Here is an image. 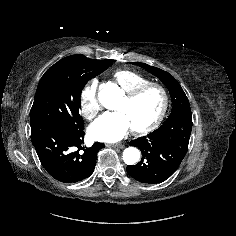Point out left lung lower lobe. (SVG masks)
<instances>
[{
    "label": "left lung lower lobe",
    "instance_id": "0a47b994",
    "mask_svg": "<svg viewBox=\"0 0 236 236\" xmlns=\"http://www.w3.org/2000/svg\"><path fill=\"white\" fill-rule=\"evenodd\" d=\"M192 130L191 110H179L155 131L130 142L142 152L136 165L127 173L142 183L157 184L168 179L180 166L188 149Z\"/></svg>",
    "mask_w": 236,
    "mask_h": 236
}]
</instances>
